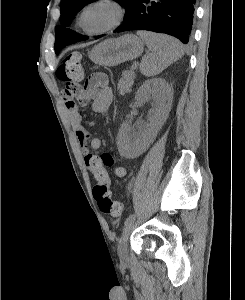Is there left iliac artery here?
<instances>
[{"label": "left iliac artery", "mask_w": 245, "mask_h": 300, "mask_svg": "<svg viewBox=\"0 0 245 300\" xmlns=\"http://www.w3.org/2000/svg\"><path fill=\"white\" fill-rule=\"evenodd\" d=\"M130 188V187H129ZM130 190V189H129ZM130 193V192H129ZM131 195V194H130ZM131 197V196H130ZM133 199V198H132ZM134 215L133 214H131V215H129L127 218H126V220H125V225L126 224H128L130 221H132L133 219H134Z\"/></svg>", "instance_id": "left-iliac-artery-1"}]
</instances>
